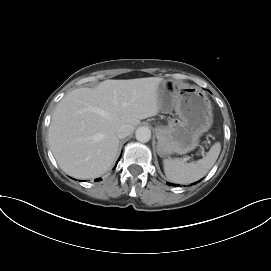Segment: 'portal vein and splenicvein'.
Masks as SVG:
<instances>
[{"label": "portal vein and splenic vein", "instance_id": "obj_1", "mask_svg": "<svg viewBox=\"0 0 271 271\" xmlns=\"http://www.w3.org/2000/svg\"><path fill=\"white\" fill-rule=\"evenodd\" d=\"M202 155L204 156V151H202ZM189 157H186L184 160L187 161Z\"/></svg>", "mask_w": 271, "mask_h": 271}]
</instances>
